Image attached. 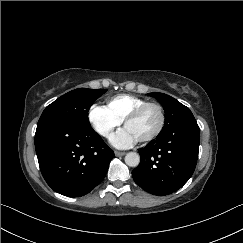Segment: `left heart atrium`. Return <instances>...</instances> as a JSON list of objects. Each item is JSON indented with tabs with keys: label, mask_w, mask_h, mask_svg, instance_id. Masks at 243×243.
Listing matches in <instances>:
<instances>
[{
	"label": "left heart atrium",
	"mask_w": 243,
	"mask_h": 243,
	"mask_svg": "<svg viewBox=\"0 0 243 243\" xmlns=\"http://www.w3.org/2000/svg\"><path fill=\"white\" fill-rule=\"evenodd\" d=\"M137 142L135 136L125 127L116 132L110 138V143L113 147L118 149H126L132 147Z\"/></svg>",
	"instance_id": "1"
}]
</instances>
